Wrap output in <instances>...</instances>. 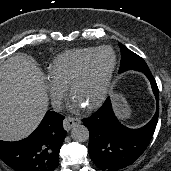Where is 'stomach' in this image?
<instances>
[{"instance_id":"stomach-1","label":"stomach","mask_w":171,"mask_h":171,"mask_svg":"<svg viewBox=\"0 0 171 171\" xmlns=\"http://www.w3.org/2000/svg\"><path fill=\"white\" fill-rule=\"evenodd\" d=\"M113 103L116 114L120 119H126L130 116L131 110L124 99L120 94H113Z\"/></svg>"}]
</instances>
